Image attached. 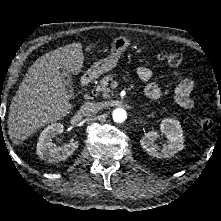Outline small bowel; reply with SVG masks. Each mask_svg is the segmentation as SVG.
I'll use <instances>...</instances> for the list:
<instances>
[{"instance_id":"small-bowel-1","label":"small bowel","mask_w":221,"mask_h":221,"mask_svg":"<svg viewBox=\"0 0 221 221\" xmlns=\"http://www.w3.org/2000/svg\"><path fill=\"white\" fill-rule=\"evenodd\" d=\"M137 75L142 81H149L152 76V70L146 66H140L137 68ZM194 88V81L190 78H185L180 81L175 89V101L185 109H191L194 107V101L191 98V93ZM145 93L147 97L153 100L160 99L163 96L162 88L155 84L150 83L146 86Z\"/></svg>"}]
</instances>
